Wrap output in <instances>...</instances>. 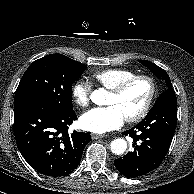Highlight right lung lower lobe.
Returning a JSON list of instances; mask_svg holds the SVG:
<instances>
[{
    "label": "right lung lower lobe",
    "instance_id": "98d812e1",
    "mask_svg": "<svg viewBox=\"0 0 194 194\" xmlns=\"http://www.w3.org/2000/svg\"><path fill=\"white\" fill-rule=\"evenodd\" d=\"M76 119L72 106L59 108L40 100L14 104L16 143L33 169L59 177L77 168L91 137L90 133H68V126Z\"/></svg>",
    "mask_w": 194,
    "mask_h": 194
}]
</instances>
